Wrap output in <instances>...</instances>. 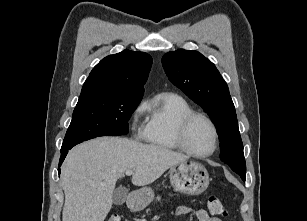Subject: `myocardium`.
I'll return each mask as SVG.
<instances>
[{"label":"myocardium","mask_w":307,"mask_h":221,"mask_svg":"<svg viewBox=\"0 0 307 221\" xmlns=\"http://www.w3.org/2000/svg\"><path fill=\"white\" fill-rule=\"evenodd\" d=\"M196 118H202L203 120H205L209 126L211 127L212 131H213V136H214V144L212 149L207 152V153H196L194 151H192L187 143H186V134H187V130L188 127L190 126V124L192 123L193 120H195ZM176 143L178 145V147L185 152L186 154L195 157V158H199V159H203V158H207L212 156L218 149L219 146V132H218V128L216 126V124L214 123V121L206 114L202 113V112H196V111H192L186 115H184L178 125H177V129H176Z\"/></svg>","instance_id":"myocardium-1"}]
</instances>
